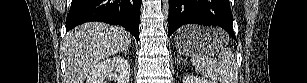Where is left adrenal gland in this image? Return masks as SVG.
<instances>
[{
  "label": "left adrenal gland",
  "instance_id": "1",
  "mask_svg": "<svg viewBox=\"0 0 307 83\" xmlns=\"http://www.w3.org/2000/svg\"><path fill=\"white\" fill-rule=\"evenodd\" d=\"M178 58H179V62L181 61V58H180V56H178Z\"/></svg>",
  "mask_w": 307,
  "mask_h": 83
}]
</instances>
